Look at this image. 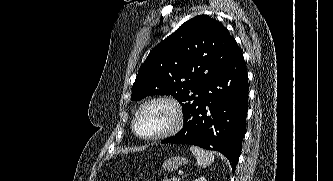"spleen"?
Segmentation results:
<instances>
[{
	"label": "spleen",
	"instance_id": "3e777b00",
	"mask_svg": "<svg viewBox=\"0 0 333 181\" xmlns=\"http://www.w3.org/2000/svg\"><path fill=\"white\" fill-rule=\"evenodd\" d=\"M190 151L195 156L197 164L200 167L210 166L214 162V155L210 151L204 150L196 146H191Z\"/></svg>",
	"mask_w": 333,
	"mask_h": 181
}]
</instances>
